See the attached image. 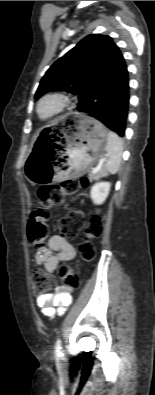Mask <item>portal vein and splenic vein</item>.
I'll return each instance as SVG.
<instances>
[{"label":"portal vein and splenic vein","mask_w":155,"mask_h":395,"mask_svg":"<svg viewBox=\"0 0 155 395\" xmlns=\"http://www.w3.org/2000/svg\"><path fill=\"white\" fill-rule=\"evenodd\" d=\"M107 161V156L103 157L100 159V161L98 162L97 166L95 168H93V173L97 172L103 165L104 163Z\"/></svg>","instance_id":"1"}]
</instances>
